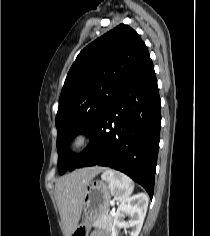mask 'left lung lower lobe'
I'll use <instances>...</instances> for the list:
<instances>
[{
	"label": "left lung lower lobe",
	"mask_w": 210,
	"mask_h": 236,
	"mask_svg": "<svg viewBox=\"0 0 210 236\" xmlns=\"http://www.w3.org/2000/svg\"><path fill=\"white\" fill-rule=\"evenodd\" d=\"M160 97L150 61L116 96L70 170L107 166L141 184L153 197L160 140Z\"/></svg>",
	"instance_id": "1"
}]
</instances>
